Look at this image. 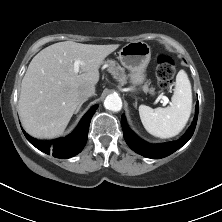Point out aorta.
Masks as SVG:
<instances>
[{"label": "aorta", "mask_w": 222, "mask_h": 222, "mask_svg": "<svg viewBox=\"0 0 222 222\" xmlns=\"http://www.w3.org/2000/svg\"><path fill=\"white\" fill-rule=\"evenodd\" d=\"M104 107L107 110L118 112L122 109V100L117 94H110L104 100Z\"/></svg>", "instance_id": "1"}]
</instances>
